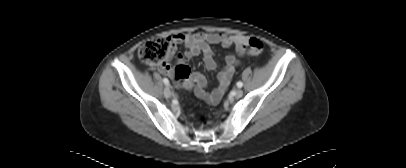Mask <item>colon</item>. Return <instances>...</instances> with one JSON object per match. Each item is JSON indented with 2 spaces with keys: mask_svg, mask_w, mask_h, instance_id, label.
I'll return each mask as SVG.
<instances>
[{
  "mask_svg": "<svg viewBox=\"0 0 406 168\" xmlns=\"http://www.w3.org/2000/svg\"><path fill=\"white\" fill-rule=\"evenodd\" d=\"M173 41L171 38L159 37L151 39L139 48V57L146 63L151 65L162 64L171 54ZM242 52L248 56H258L263 53L264 44L256 38L251 37L246 43L242 44ZM190 69L184 65H178L175 69L177 77H184ZM203 122H207V118H203Z\"/></svg>",
  "mask_w": 406,
  "mask_h": 168,
  "instance_id": "5ec220e1",
  "label": "colon"
}]
</instances>
